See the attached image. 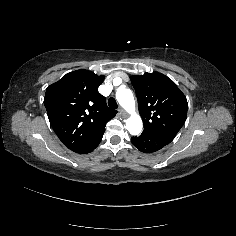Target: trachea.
Here are the masks:
<instances>
[{
	"instance_id": "obj_1",
	"label": "trachea",
	"mask_w": 236,
	"mask_h": 236,
	"mask_svg": "<svg viewBox=\"0 0 236 236\" xmlns=\"http://www.w3.org/2000/svg\"><path fill=\"white\" fill-rule=\"evenodd\" d=\"M108 106L111 109H117L118 108L116 100L114 98H112V97L108 99Z\"/></svg>"
}]
</instances>
